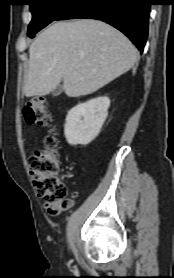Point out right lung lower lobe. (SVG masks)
Instances as JSON below:
<instances>
[{"label": "right lung lower lobe", "mask_w": 174, "mask_h": 278, "mask_svg": "<svg viewBox=\"0 0 174 278\" xmlns=\"http://www.w3.org/2000/svg\"><path fill=\"white\" fill-rule=\"evenodd\" d=\"M149 0H76L56 20L91 18L123 32L142 52L148 34Z\"/></svg>", "instance_id": "1"}]
</instances>
